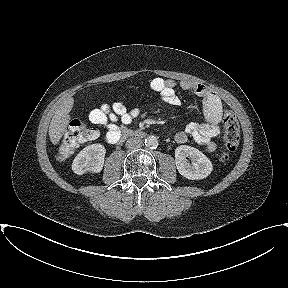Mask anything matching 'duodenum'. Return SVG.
Segmentation results:
<instances>
[{"label":"duodenum","mask_w":288,"mask_h":288,"mask_svg":"<svg viewBox=\"0 0 288 288\" xmlns=\"http://www.w3.org/2000/svg\"><path fill=\"white\" fill-rule=\"evenodd\" d=\"M142 135H143V134L140 133V132H133V131L125 130V131L122 133L121 138L124 139V138L131 137V136L140 137V136H142Z\"/></svg>","instance_id":"obj_1"}]
</instances>
